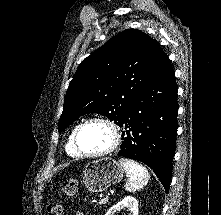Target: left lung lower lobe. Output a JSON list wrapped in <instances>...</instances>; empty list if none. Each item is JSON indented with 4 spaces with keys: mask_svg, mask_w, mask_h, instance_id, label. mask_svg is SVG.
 Returning a JSON list of instances; mask_svg holds the SVG:
<instances>
[{
    "mask_svg": "<svg viewBox=\"0 0 221 215\" xmlns=\"http://www.w3.org/2000/svg\"><path fill=\"white\" fill-rule=\"evenodd\" d=\"M177 86L167 57L132 100L119 123L122 132L119 156L148 165L168 193L177 132ZM129 129V130H127Z\"/></svg>",
    "mask_w": 221,
    "mask_h": 215,
    "instance_id": "0a47b994",
    "label": "left lung lower lobe"
}]
</instances>
